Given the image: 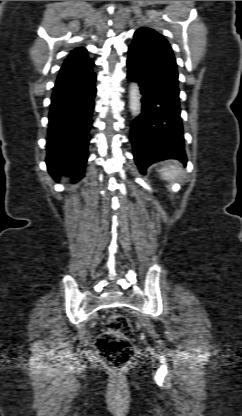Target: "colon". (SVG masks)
Masks as SVG:
<instances>
[{"instance_id": "5ec220e1", "label": "colon", "mask_w": 242, "mask_h": 416, "mask_svg": "<svg viewBox=\"0 0 242 416\" xmlns=\"http://www.w3.org/2000/svg\"><path fill=\"white\" fill-rule=\"evenodd\" d=\"M130 320L123 314L114 313L107 320V328L96 339L95 347L105 362L120 369L133 358L135 350L129 336Z\"/></svg>"}]
</instances>
